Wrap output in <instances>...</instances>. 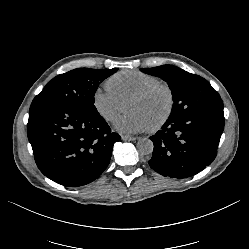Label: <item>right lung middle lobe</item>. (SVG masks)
<instances>
[{"label":"right lung middle lobe","instance_id":"1","mask_svg":"<svg viewBox=\"0 0 249 249\" xmlns=\"http://www.w3.org/2000/svg\"><path fill=\"white\" fill-rule=\"evenodd\" d=\"M118 68H77L60 74L47 83L30 106V110L51 105H68L82 110L97 111L94 95L98 85Z\"/></svg>","mask_w":249,"mask_h":249}]
</instances>
